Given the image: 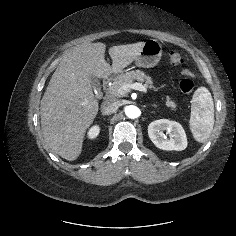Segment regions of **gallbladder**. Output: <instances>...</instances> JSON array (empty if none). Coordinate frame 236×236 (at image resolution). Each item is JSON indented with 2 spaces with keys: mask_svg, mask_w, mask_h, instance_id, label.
Listing matches in <instances>:
<instances>
[{
  "mask_svg": "<svg viewBox=\"0 0 236 236\" xmlns=\"http://www.w3.org/2000/svg\"><path fill=\"white\" fill-rule=\"evenodd\" d=\"M90 81H91V84L93 87H95L97 89L99 88V81L96 77L91 76Z\"/></svg>",
  "mask_w": 236,
  "mask_h": 236,
  "instance_id": "obj_1",
  "label": "gallbladder"
}]
</instances>
